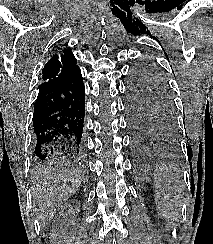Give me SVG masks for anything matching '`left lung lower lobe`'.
<instances>
[{"instance_id":"left-lung-lower-lobe-1","label":"left lung lower lobe","mask_w":213,"mask_h":244,"mask_svg":"<svg viewBox=\"0 0 213 244\" xmlns=\"http://www.w3.org/2000/svg\"><path fill=\"white\" fill-rule=\"evenodd\" d=\"M128 126L133 152L140 157H150L161 150L164 140L153 126L142 116L127 112Z\"/></svg>"}]
</instances>
